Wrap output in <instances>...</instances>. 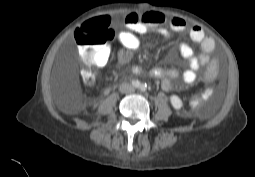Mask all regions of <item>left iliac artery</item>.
Here are the masks:
<instances>
[{
    "label": "left iliac artery",
    "instance_id": "1",
    "mask_svg": "<svg viewBox=\"0 0 255 177\" xmlns=\"http://www.w3.org/2000/svg\"><path fill=\"white\" fill-rule=\"evenodd\" d=\"M146 87H147L146 84H145V85L143 84V85L141 86V90H143V91L146 90Z\"/></svg>",
    "mask_w": 255,
    "mask_h": 177
}]
</instances>
